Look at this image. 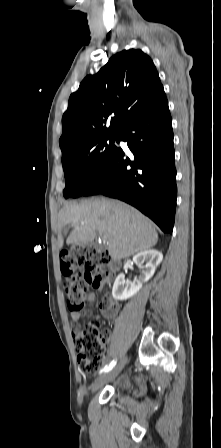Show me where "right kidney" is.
Instances as JSON below:
<instances>
[{
	"label": "right kidney",
	"instance_id": "ca27d5eb",
	"mask_svg": "<svg viewBox=\"0 0 221 448\" xmlns=\"http://www.w3.org/2000/svg\"><path fill=\"white\" fill-rule=\"evenodd\" d=\"M163 255L160 251L149 249L136 254L133 262L142 269L141 275L132 283L125 281V275L120 273L113 285L112 295L116 300H127L135 295L143 283L147 282L155 273L156 268L161 263ZM143 263H146L143 265Z\"/></svg>",
	"mask_w": 221,
	"mask_h": 448
}]
</instances>
